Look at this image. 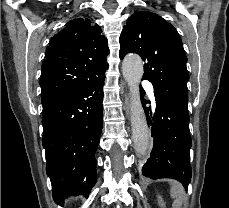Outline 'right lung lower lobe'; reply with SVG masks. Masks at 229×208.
Instances as JSON below:
<instances>
[{"instance_id":"right-lung-lower-lobe-1","label":"right lung lower lobe","mask_w":229,"mask_h":208,"mask_svg":"<svg viewBox=\"0 0 229 208\" xmlns=\"http://www.w3.org/2000/svg\"><path fill=\"white\" fill-rule=\"evenodd\" d=\"M104 79L105 73L43 107L46 172L57 204L73 194L88 197L96 183Z\"/></svg>"}]
</instances>
